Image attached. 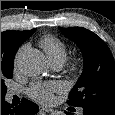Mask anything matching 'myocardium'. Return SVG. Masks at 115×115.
<instances>
[{
	"label": "myocardium",
	"instance_id": "1",
	"mask_svg": "<svg viewBox=\"0 0 115 115\" xmlns=\"http://www.w3.org/2000/svg\"><path fill=\"white\" fill-rule=\"evenodd\" d=\"M80 66H81L80 61L77 59H74L69 63L68 70L71 73H75L80 69Z\"/></svg>",
	"mask_w": 115,
	"mask_h": 115
}]
</instances>
